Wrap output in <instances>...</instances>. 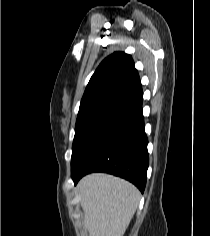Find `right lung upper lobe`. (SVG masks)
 Here are the masks:
<instances>
[{
  "label": "right lung upper lobe",
  "instance_id": "right-lung-upper-lobe-1",
  "mask_svg": "<svg viewBox=\"0 0 210 236\" xmlns=\"http://www.w3.org/2000/svg\"><path fill=\"white\" fill-rule=\"evenodd\" d=\"M141 87L137 70L129 54L115 52L105 58L92 75L81 104L103 97L115 90L132 92Z\"/></svg>",
  "mask_w": 210,
  "mask_h": 236
}]
</instances>
